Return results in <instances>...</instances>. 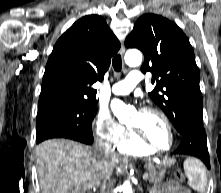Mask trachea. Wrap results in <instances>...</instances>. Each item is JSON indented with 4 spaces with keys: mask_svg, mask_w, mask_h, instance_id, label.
Returning a JSON list of instances; mask_svg holds the SVG:
<instances>
[{
    "mask_svg": "<svg viewBox=\"0 0 221 193\" xmlns=\"http://www.w3.org/2000/svg\"><path fill=\"white\" fill-rule=\"evenodd\" d=\"M112 65H113V68L116 72L121 71V69H122V60H121V56L119 54L114 56V58L112 60Z\"/></svg>",
    "mask_w": 221,
    "mask_h": 193,
    "instance_id": "obj_1",
    "label": "trachea"
}]
</instances>
